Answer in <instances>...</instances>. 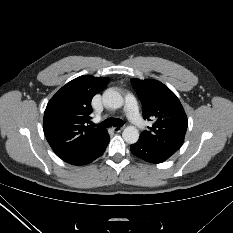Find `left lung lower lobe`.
Masks as SVG:
<instances>
[{"label": "left lung lower lobe", "instance_id": "1", "mask_svg": "<svg viewBox=\"0 0 233 233\" xmlns=\"http://www.w3.org/2000/svg\"><path fill=\"white\" fill-rule=\"evenodd\" d=\"M130 150L135 156L150 163H162L173 155L169 152L150 146L141 138H139L135 144L130 146Z\"/></svg>", "mask_w": 233, "mask_h": 233}]
</instances>
